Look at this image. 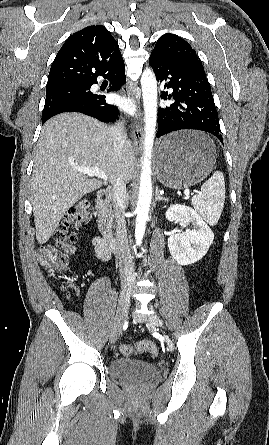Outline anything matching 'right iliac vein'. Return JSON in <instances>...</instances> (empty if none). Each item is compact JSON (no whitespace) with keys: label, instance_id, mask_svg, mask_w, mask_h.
I'll list each match as a JSON object with an SVG mask.
<instances>
[{"label":"right iliac vein","instance_id":"63e3f726","mask_svg":"<svg viewBox=\"0 0 269 445\" xmlns=\"http://www.w3.org/2000/svg\"><path fill=\"white\" fill-rule=\"evenodd\" d=\"M130 293V289L124 288L120 294L117 317L110 334L111 343H115L121 334L124 319L130 305Z\"/></svg>","mask_w":269,"mask_h":445}]
</instances>
